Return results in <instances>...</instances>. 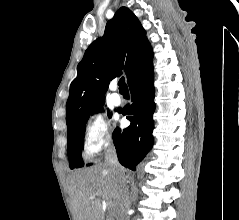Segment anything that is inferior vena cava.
Listing matches in <instances>:
<instances>
[{
  "label": "inferior vena cava",
  "instance_id": "602c4592",
  "mask_svg": "<svg viewBox=\"0 0 239 220\" xmlns=\"http://www.w3.org/2000/svg\"><path fill=\"white\" fill-rule=\"evenodd\" d=\"M105 164L108 165L116 174L118 179V185L121 193V208L119 214V220H129L126 216V213L130 207V198H129V190L126 185V179L123 174V168L120 165L115 147L112 143H109L105 153Z\"/></svg>",
  "mask_w": 239,
  "mask_h": 220
}]
</instances>
